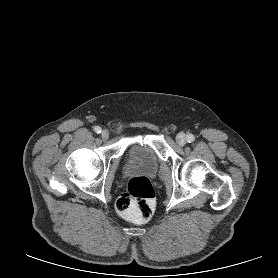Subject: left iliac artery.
<instances>
[{"label": "left iliac artery", "instance_id": "obj_1", "mask_svg": "<svg viewBox=\"0 0 278 278\" xmlns=\"http://www.w3.org/2000/svg\"><path fill=\"white\" fill-rule=\"evenodd\" d=\"M186 140L190 143V142H193L195 140V137L192 134H188L186 136Z\"/></svg>", "mask_w": 278, "mask_h": 278}]
</instances>
